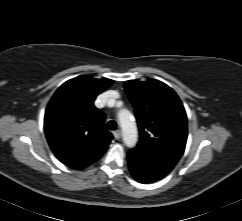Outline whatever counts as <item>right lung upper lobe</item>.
I'll use <instances>...</instances> for the list:
<instances>
[{
	"mask_svg": "<svg viewBox=\"0 0 242 221\" xmlns=\"http://www.w3.org/2000/svg\"><path fill=\"white\" fill-rule=\"evenodd\" d=\"M112 83L106 78L78 76L62 84L47 106L44 130L50 148L73 169L99 159L113 138L104 128L105 114L93 104Z\"/></svg>",
	"mask_w": 242,
	"mask_h": 221,
	"instance_id": "right-lung-upper-lobe-1",
	"label": "right lung upper lobe"
}]
</instances>
